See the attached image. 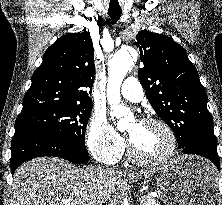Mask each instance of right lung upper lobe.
I'll return each instance as SVG.
<instances>
[{
  "instance_id": "obj_1",
  "label": "right lung upper lobe",
  "mask_w": 222,
  "mask_h": 205,
  "mask_svg": "<svg viewBox=\"0 0 222 205\" xmlns=\"http://www.w3.org/2000/svg\"><path fill=\"white\" fill-rule=\"evenodd\" d=\"M95 78L94 50L90 34L68 33L44 54L32 76L21 112L52 105H91Z\"/></svg>"
}]
</instances>
